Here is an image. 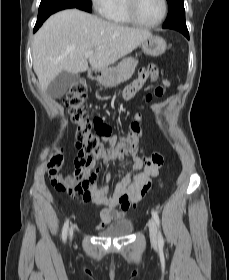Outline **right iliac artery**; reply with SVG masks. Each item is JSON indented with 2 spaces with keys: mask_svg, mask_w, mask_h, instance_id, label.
Segmentation results:
<instances>
[{
  "mask_svg": "<svg viewBox=\"0 0 229 280\" xmlns=\"http://www.w3.org/2000/svg\"><path fill=\"white\" fill-rule=\"evenodd\" d=\"M68 224H69V220H67L64 223V226H63V230H62V239H63V241H65L66 238H67Z\"/></svg>",
  "mask_w": 229,
  "mask_h": 280,
  "instance_id": "82829eb1",
  "label": "right iliac artery"
}]
</instances>
